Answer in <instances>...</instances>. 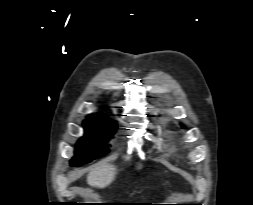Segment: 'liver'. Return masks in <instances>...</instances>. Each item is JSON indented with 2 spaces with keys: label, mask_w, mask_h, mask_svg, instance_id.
<instances>
[{
  "label": "liver",
  "mask_w": 253,
  "mask_h": 205,
  "mask_svg": "<svg viewBox=\"0 0 253 205\" xmlns=\"http://www.w3.org/2000/svg\"><path fill=\"white\" fill-rule=\"evenodd\" d=\"M117 168L112 164H103L91 170L87 176V183L97 188H105L115 178Z\"/></svg>",
  "instance_id": "obj_1"
}]
</instances>
